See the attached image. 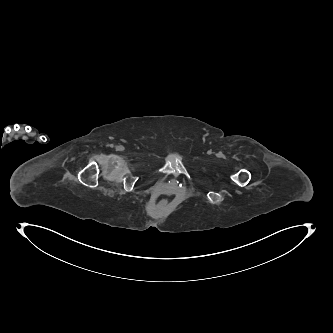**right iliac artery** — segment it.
Returning a JSON list of instances; mask_svg holds the SVG:
<instances>
[{"mask_svg":"<svg viewBox=\"0 0 333 333\" xmlns=\"http://www.w3.org/2000/svg\"><path fill=\"white\" fill-rule=\"evenodd\" d=\"M124 149L123 146H117V150L122 151Z\"/></svg>","mask_w":333,"mask_h":333,"instance_id":"obj_1","label":"right iliac artery"}]
</instances>
